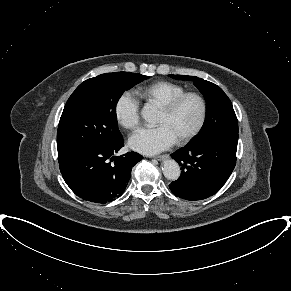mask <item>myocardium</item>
I'll return each mask as SVG.
<instances>
[{"label": "myocardium", "instance_id": "f54148a6", "mask_svg": "<svg viewBox=\"0 0 291 291\" xmlns=\"http://www.w3.org/2000/svg\"><path fill=\"white\" fill-rule=\"evenodd\" d=\"M187 98H194L198 101L199 106H200V114H199L198 121H197L196 125L194 126V128L187 135H185L184 137H182L176 141L177 144H179V145H183V144L190 142L202 130V128L205 124V121H206V117H207L206 99L203 97V95H201L198 92L189 91V92H184V93L176 96L175 98H173L172 100H170L168 103H166L165 105H163L161 107V110L164 111L165 113H167V114L173 113L178 108V106Z\"/></svg>", "mask_w": 291, "mask_h": 291}]
</instances>
